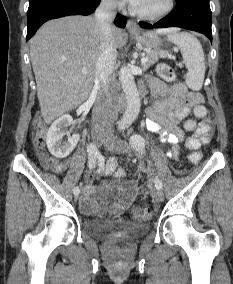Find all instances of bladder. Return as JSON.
<instances>
[{
	"label": "bladder",
	"mask_w": 233,
	"mask_h": 284,
	"mask_svg": "<svg viewBox=\"0 0 233 284\" xmlns=\"http://www.w3.org/2000/svg\"><path fill=\"white\" fill-rule=\"evenodd\" d=\"M135 187L125 180H113L86 195L92 204V197L103 205L131 202L135 197ZM84 231L95 238L103 239L114 233H127L140 236L149 229L147 222H132L123 218H87L83 221Z\"/></svg>",
	"instance_id": "obj_1"
}]
</instances>
